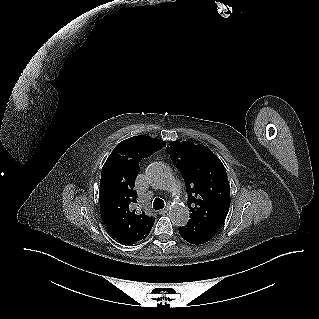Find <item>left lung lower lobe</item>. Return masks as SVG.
I'll return each mask as SVG.
<instances>
[{
  "instance_id": "1",
  "label": "left lung lower lobe",
  "mask_w": 319,
  "mask_h": 319,
  "mask_svg": "<svg viewBox=\"0 0 319 319\" xmlns=\"http://www.w3.org/2000/svg\"><path fill=\"white\" fill-rule=\"evenodd\" d=\"M221 223L190 218L185 226L179 227L183 239L192 244L209 241L220 229Z\"/></svg>"
}]
</instances>
